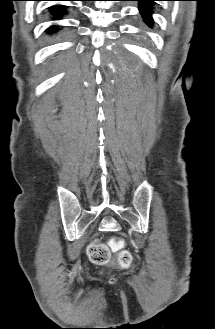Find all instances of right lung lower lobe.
I'll use <instances>...</instances> for the list:
<instances>
[{"mask_svg":"<svg viewBox=\"0 0 215 329\" xmlns=\"http://www.w3.org/2000/svg\"><path fill=\"white\" fill-rule=\"evenodd\" d=\"M54 1H61V0H54ZM67 7L64 5H54L49 7V11L52 15L53 20L60 19L63 15L67 14ZM59 29L56 25H53L47 29V32L52 34L57 32Z\"/></svg>","mask_w":215,"mask_h":329,"instance_id":"obj_1","label":"right lung lower lobe"}]
</instances>
